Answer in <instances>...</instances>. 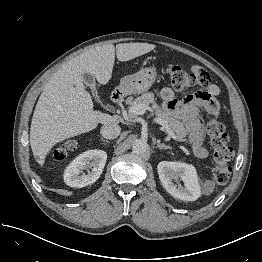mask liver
I'll use <instances>...</instances> for the list:
<instances>
[{"mask_svg": "<svg viewBox=\"0 0 262 262\" xmlns=\"http://www.w3.org/2000/svg\"><path fill=\"white\" fill-rule=\"evenodd\" d=\"M148 43L116 45V56L125 62L152 51ZM115 47L103 45L81 53L65 63L47 82L36 104L30 145L37 163L42 167L52 147L58 142L95 129L98 123H117V117L93 110L89 91L82 80L92 74L105 85L112 77Z\"/></svg>", "mask_w": 262, "mask_h": 262, "instance_id": "liver-1", "label": "liver"}]
</instances>
